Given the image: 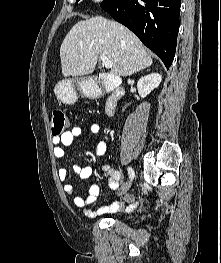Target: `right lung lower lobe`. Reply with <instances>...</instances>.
<instances>
[{"label": "right lung lower lobe", "mask_w": 221, "mask_h": 263, "mask_svg": "<svg viewBox=\"0 0 221 263\" xmlns=\"http://www.w3.org/2000/svg\"><path fill=\"white\" fill-rule=\"evenodd\" d=\"M181 0H104L101 8L135 33L168 69L175 56Z\"/></svg>", "instance_id": "1"}]
</instances>
